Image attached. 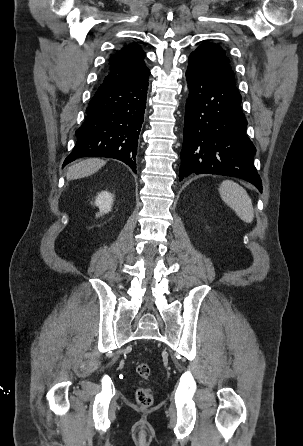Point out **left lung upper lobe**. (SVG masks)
<instances>
[{
    "label": "left lung upper lobe",
    "mask_w": 303,
    "mask_h": 446,
    "mask_svg": "<svg viewBox=\"0 0 303 446\" xmlns=\"http://www.w3.org/2000/svg\"><path fill=\"white\" fill-rule=\"evenodd\" d=\"M189 57L200 60L207 67L235 83V76L230 65V60L227 58L225 50L220 46L204 41Z\"/></svg>",
    "instance_id": "obj_1"
}]
</instances>
